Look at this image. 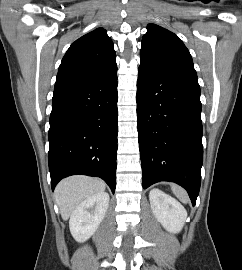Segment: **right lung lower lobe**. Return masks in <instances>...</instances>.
Masks as SVG:
<instances>
[{"label":"right lung lower lobe","instance_id":"98d812e1","mask_svg":"<svg viewBox=\"0 0 242 270\" xmlns=\"http://www.w3.org/2000/svg\"><path fill=\"white\" fill-rule=\"evenodd\" d=\"M117 65L53 94L49 129L51 187L64 177L102 178L114 193L118 134Z\"/></svg>","mask_w":242,"mask_h":270}]
</instances>
